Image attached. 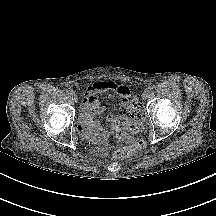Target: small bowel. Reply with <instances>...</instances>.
Wrapping results in <instances>:
<instances>
[{"label":"small bowel","mask_w":216,"mask_h":216,"mask_svg":"<svg viewBox=\"0 0 216 216\" xmlns=\"http://www.w3.org/2000/svg\"><path fill=\"white\" fill-rule=\"evenodd\" d=\"M99 96L113 98L118 96L120 108L116 113L110 114L108 120L112 122L117 117L124 114L126 105L130 97V89L112 81L98 82L90 85L84 93V99L80 109L79 131L80 133L96 144H103L107 137V132L95 117L105 111V106L100 102Z\"/></svg>","instance_id":"c3829d8e"}]
</instances>
